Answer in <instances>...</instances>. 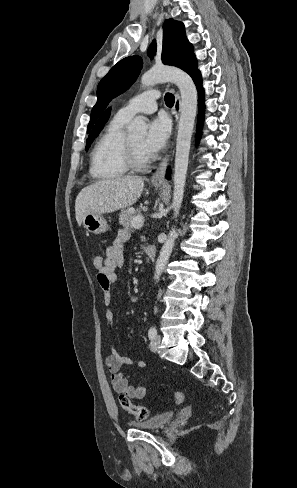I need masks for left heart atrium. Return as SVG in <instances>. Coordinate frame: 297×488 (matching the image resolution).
<instances>
[{
    "label": "left heart atrium",
    "mask_w": 297,
    "mask_h": 488,
    "mask_svg": "<svg viewBox=\"0 0 297 488\" xmlns=\"http://www.w3.org/2000/svg\"><path fill=\"white\" fill-rule=\"evenodd\" d=\"M170 134V124L164 116L154 118L142 142V150L148 158L161 150Z\"/></svg>",
    "instance_id": "1"
}]
</instances>
